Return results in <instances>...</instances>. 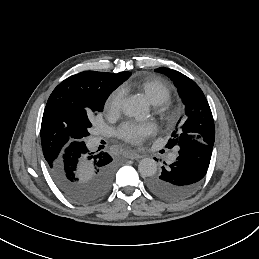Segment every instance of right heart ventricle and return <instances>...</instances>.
Wrapping results in <instances>:
<instances>
[{
	"label": "right heart ventricle",
	"instance_id": "right-heart-ventricle-1",
	"mask_svg": "<svg viewBox=\"0 0 259 259\" xmlns=\"http://www.w3.org/2000/svg\"><path fill=\"white\" fill-rule=\"evenodd\" d=\"M121 94L137 91L144 94L153 105L168 101L172 96V91L164 82L160 80L146 81L145 77H138L121 84L118 88Z\"/></svg>",
	"mask_w": 259,
	"mask_h": 259
}]
</instances>
